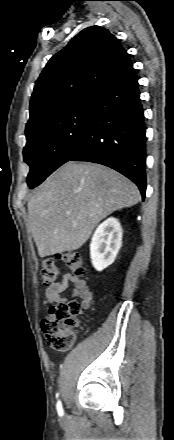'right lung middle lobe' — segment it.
<instances>
[{
  "label": "right lung middle lobe",
  "mask_w": 174,
  "mask_h": 440,
  "mask_svg": "<svg viewBox=\"0 0 174 440\" xmlns=\"http://www.w3.org/2000/svg\"><path fill=\"white\" fill-rule=\"evenodd\" d=\"M94 107V95L83 96L26 128L24 161L30 166L27 183L38 186L81 142Z\"/></svg>",
  "instance_id": "right-lung-middle-lobe-1"
}]
</instances>
